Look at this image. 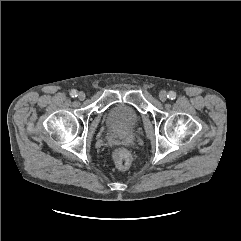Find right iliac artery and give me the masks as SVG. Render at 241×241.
Segmentation results:
<instances>
[{
  "label": "right iliac artery",
  "mask_w": 241,
  "mask_h": 241,
  "mask_svg": "<svg viewBox=\"0 0 241 241\" xmlns=\"http://www.w3.org/2000/svg\"><path fill=\"white\" fill-rule=\"evenodd\" d=\"M70 95L75 98L77 97V90L73 89L71 92H70Z\"/></svg>",
  "instance_id": "right-iliac-artery-1"
}]
</instances>
